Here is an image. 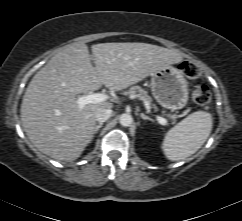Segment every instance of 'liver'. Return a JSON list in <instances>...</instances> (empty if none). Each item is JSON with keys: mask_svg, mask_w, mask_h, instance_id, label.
<instances>
[{"mask_svg": "<svg viewBox=\"0 0 242 221\" xmlns=\"http://www.w3.org/2000/svg\"><path fill=\"white\" fill-rule=\"evenodd\" d=\"M91 48L95 67L86 44L64 46L34 75L23 96L21 120L29 140L58 161L80 157L93 138L96 109L113 107L104 101L80 110L78 94L102 85L119 91L183 59L174 50L147 43H100Z\"/></svg>", "mask_w": 242, "mask_h": 221, "instance_id": "obj_1", "label": "liver"}]
</instances>
